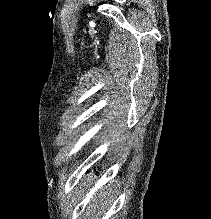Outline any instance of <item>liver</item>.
Segmentation results:
<instances>
[{
	"instance_id": "6515ba94",
	"label": "liver",
	"mask_w": 211,
	"mask_h": 219,
	"mask_svg": "<svg viewBox=\"0 0 211 219\" xmlns=\"http://www.w3.org/2000/svg\"><path fill=\"white\" fill-rule=\"evenodd\" d=\"M90 177L91 176L84 178V181L85 179L89 181ZM110 203L111 198L109 194L107 196L104 190L101 189L96 193L94 197L91 198V201L89 202V207L85 212L84 219H101L100 217L105 214V211Z\"/></svg>"
}]
</instances>
